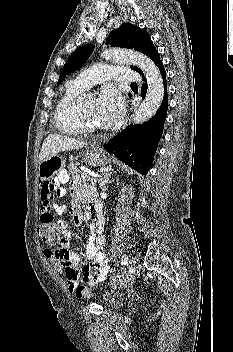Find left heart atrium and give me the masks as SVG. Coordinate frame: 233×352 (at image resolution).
<instances>
[{
	"label": "left heart atrium",
	"instance_id": "obj_1",
	"mask_svg": "<svg viewBox=\"0 0 233 352\" xmlns=\"http://www.w3.org/2000/svg\"><path fill=\"white\" fill-rule=\"evenodd\" d=\"M125 109L124 98L113 87L102 90L95 108L96 118L102 127L114 125L122 116Z\"/></svg>",
	"mask_w": 233,
	"mask_h": 352
}]
</instances>
